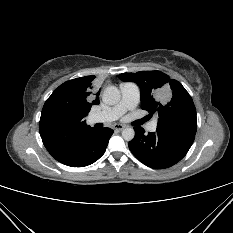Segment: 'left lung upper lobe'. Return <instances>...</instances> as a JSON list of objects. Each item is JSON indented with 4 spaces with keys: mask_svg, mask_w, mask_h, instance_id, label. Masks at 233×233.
Returning a JSON list of instances; mask_svg holds the SVG:
<instances>
[{
    "mask_svg": "<svg viewBox=\"0 0 233 233\" xmlns=\"http://www.w3.org/2000/svg\"><path fill=\"white\" fill-rule=\"evenodd\" d=\"M122 81L138 84L141 91L142 109L157 113V131L170 134H196L197 118L193 100L177 80L170 79L161 71H140L118 75ZM167 98L159 99L158 95Z\"/></svg>",
    "mask_w": 233,
    "mask_h": 233,
    "instance_id": "5c2ea615",
    "label": "left lung upper lobe"
}]
</instances>
